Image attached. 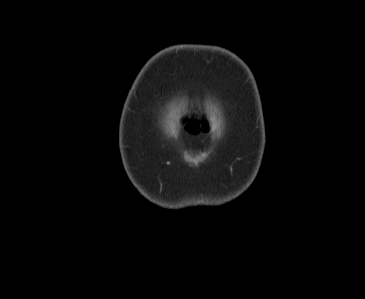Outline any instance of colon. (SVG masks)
<instances>
[{
    "label": "colon",
    "mask_w": 365,
    "mask_h": 299,
    "mask_svg": "<svg viewBox=\"0 0 365 299\" xmlns=\"http://www.w3.org/2000/svg\"><path fill=\"white\" fill-rule=\"evenodd\" d=\"M189 129L191 131H199L200 130V126L198 124H192L189 126Z\"/></svg>",
    "instance_id": "1"
}]
</instances>
